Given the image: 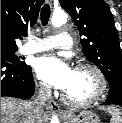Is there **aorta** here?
Segmentation results:
<instances>
[{
    "instance_id": "aorta-1",
    "label": "aorta",
    "mask_w": 122,
    "mask_h": 123,
    "mask_svg": "<svg viewBox=\"0 0 122 123\" xmlns=\"http://www.w3.org/2000/svg\"><path fill=\"white\" fill-rule=\"evenodd\" d=\"M67 19L68 15L63 11H59L53 14L51 22L53 26L60 27L67 22ZM51 123H59L58 117L52 116Z\"/></svg>"
}]
</instances>
